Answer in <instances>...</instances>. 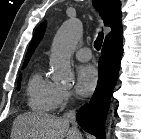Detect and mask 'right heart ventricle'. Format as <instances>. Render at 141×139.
Wrapping results in <instances>:
<instances>
[{"label":"right heart ventricle","mask_w":141,"mask_h":139,"mask_svg":"<svg viewBox=\"0 0 141 139\" xmlns=\"http://www.w3.org/2000/svg\"><path fill=\"white\" fill-rule=\"evenodd\" d=\"M57 86L35 71L27 82L26 96L29 108L37 113H49L54 110Z\"/></svg>","instance_id":"e07e8e85"}]
</instances>
